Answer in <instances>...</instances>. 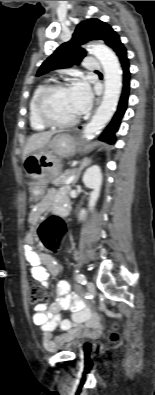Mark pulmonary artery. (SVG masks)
I'll list each match as a JSON object with an SVG mask.
<instances>
[{
	"label": "pulmonary artery",
	"mask_w": 155,
	"mask_h": 395,
	"mask_svg": "<svg viewBox=\"0 0 155 395\" xmlns=\"http://www.w3.org/2000/svg\"><path fill=\"white\" fill-rule=\"evenodd\" d=\"M84 67L88 70L95 71L100 68V62L94 57H87L84 60Z\"/></svg>",
	"instance_id": "pulmonary-artery-1"
}]
</instances>
